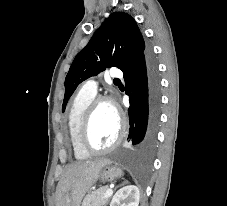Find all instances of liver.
<instances>
[{"label":"liver","mask_w":227,"mask_h":206,"mask_svg":"<svg viewBox=\"0 0 227 206\" xmlns=\"http://www.w3.org/2000/svg\"><path fill=\"white\" fill-rule=\"evenodd\" d=\"M108 162L99 159L70 165L56 188V206H80L86 191L97 181L101 168Z\"/></svg>","instance_id":"obj_1"}]
</instances>
